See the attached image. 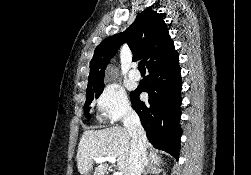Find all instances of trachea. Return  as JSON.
<instances>
[{"instance_id":"obj_1","label":"trachea","mask_w":251,"mask_h":175,"mask_svg":"<svg viewBox=\"0 0 251 175\" xmlns=\"http://www.w3.org/2000/svg\"><path fill=\"white\" fill-rule=\"evenodd\" d=\"M138 69L140 70V71H145L146 69H145V65H144V60H141L140 62H139V64H138Z\"/></svg>"}]
</instances>
